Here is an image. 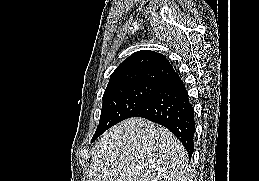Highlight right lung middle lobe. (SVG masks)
<instances>
[{
	"label": "right lung middle lobe",
	"instance_id": "1",
	"mask_svg": "<svg viewBox=\"0 0 259 181\" xmlns=\"http://www.w3.org/2000/svg\"><path fill=\"white\" fill-rule=\"evenodd\" d=\"M157 89L158 84H133L105 90L99 125L93 137L100 136L111 126L133 117Z\"/></svg>",
	"mask_w": 259,
	"mask_h": 181
}]
</instances>
